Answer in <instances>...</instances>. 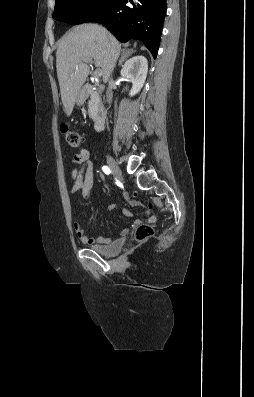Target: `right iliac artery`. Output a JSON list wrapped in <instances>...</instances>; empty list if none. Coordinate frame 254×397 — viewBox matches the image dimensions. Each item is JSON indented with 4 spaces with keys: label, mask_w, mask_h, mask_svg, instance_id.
Instances as JSON below:
<instances>
[{
    "label": "right iliac artery",
    "mask_w": 254,
    "mask_h": 397,
    "mask_svg": "<svg viewBox=\"0 0 254 397\" xmlns=\"http://www.w3.org/2000/svg\"><path fill=\"white\" fill-rule=\"evenodd\" d=\"M103 172L105 173V174H110V169L107 167V166H103Z\"/></svg>",
    "instance_id": "obj_1"
}]
</instances>
